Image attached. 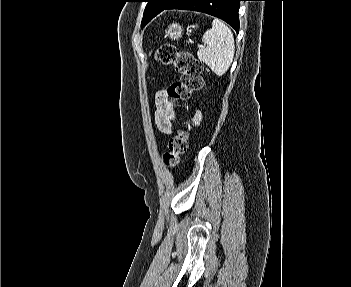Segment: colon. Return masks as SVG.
Masks as SVG:
<instances>
[{
    "instance_id": "1",
    "label": "colon",
    "mask_w": 351,
    "mask_h": 287,
    "mask_svg": "<svg viewBox=\"0 0 351 287\" xmlns=\"http://www.w3.org/2000/svg\"><path fill=\"white\" fill-rule=\"evenodd\" d=\"M157 60L167 66H173L180 74V79L172 83L167 89L169 102L177 105L185 101L191 95L200 90L203 84L202 64L188 51L177 49L173 45L164 44L156 52ZM188 149V133L184 129H178L170 139L168 149L163 156L166 167L175 168L180 157Z\"/></svg>"
}]
</instances>
